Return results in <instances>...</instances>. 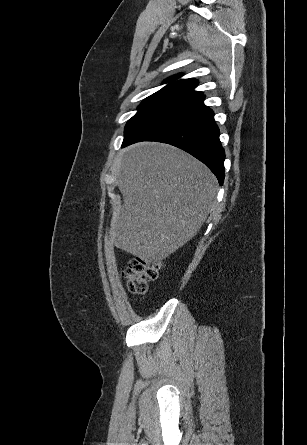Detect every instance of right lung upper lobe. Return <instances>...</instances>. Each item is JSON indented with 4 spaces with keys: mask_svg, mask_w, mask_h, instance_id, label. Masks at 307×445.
<instances>
[{
    "mask_svg": "<svg viewBox=\"0 0 307 445\" xmlns=\"http://www.w3.org/2000/svg\"><path fill=\"white\" fill-rule=\"evenodd\" d=\"M180 76L181 75H175L168 78L166 82H172L151 96L180 99L187 102L202 95V92L194 91V88L198 85V81L194 79L174 81Z\"/></svg>",
    "mask_w": 307,
    "mask_h": 445,
    "instance_id": "right-lung-upper-lobe-1",
    "label": "right lung upper lobe"
}]
</instances>
